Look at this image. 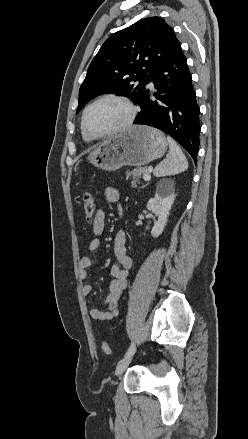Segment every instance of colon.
I'll return each mask as SVG.
<instances>
[{
	"label": "colon",
	"mask_w": 248,
	"mask_h": 439,
	"mask_svg": "<svg viewBox=\"0 0 248 439\" xmlns=\"http://www.w3.org/2000/svg\"><path fill=\"white\" fill-rule=\"evenodd\" d=\"M83 209L85 218L88 222H92L95 215V199L91 192L87 191L83 195ZM101 350L107 356H112V350L106 342H101Z\"/></svg>",
	"instance_id": "1"
}]
</instances>
